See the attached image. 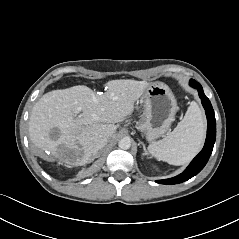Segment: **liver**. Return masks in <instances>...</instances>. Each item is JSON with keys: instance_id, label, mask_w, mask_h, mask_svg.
<instances>
[{"instance_id": "obj_1", "label": "liver", "mask_w": 239, "mask_h": 239, "mask_svg": "<svg viewBox=\"0 0 239 239\" xmlns=\"http://www.w3.org/2000/svg\"><path fill=\"white\" fill-rule=\"evenodd\" d=\"M149 85L146 81L120 79L107 82L102 94L85 85L50 91L32 109L30 141L49 161L52 159L45 152L66 164L85 165L98 152L97 142L115 135L114 123L134 111L135 101ZM67 148L75 151L76 159L63 158Z\"/></svg>"}]
</instances>
